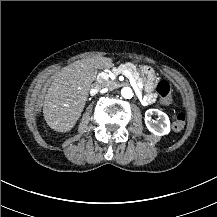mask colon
<instances>
[{
  "instance_id": "1",
  "label": "colon",
  "mask_w": 217,
  "mask_h": 217,
  "mask_svg": "<svg viewBox=\"0 0 217 217\" xmlns=\"http://www.w3.org/2000/svg\"><path fill=\"white\" fill-rule=\"evenodd\" d=\"M156 91L161 98L162 103L165 106L170 107L172 105L171 99V84L167 80H160L157 83ZM186 123V115L183 112H178L173 119V128L176 131H181L184 129Z\"/></svg>"
}]
</instances>
